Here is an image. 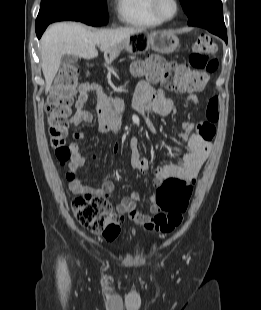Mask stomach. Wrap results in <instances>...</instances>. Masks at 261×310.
<instances>
[{
    "label": "stomach",
    "instance_id": "stomach-1",
    "mask_svg": "<svg viewBox=\"0 0 261 310\" xmlns=\"http://www.w3.org/2000/svg\"><path fill=\"white\" fill-rule=\"evenodd\" d=\"M178 46L179 39L171 31H156L150 34L143 31L136 32L128 39L117 44L111 52L106 54V59L108 61L114 60L123 49L132 54H139L151 48L158 53L169 54L176 50Z\"/></svg>",
    "mask_w": 261,
    "mask_h": 310
}]
</instances>
